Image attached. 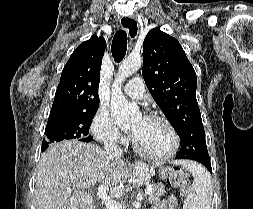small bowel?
Returning a JSON list of instances; mask_svg holds the SVG:
<instances>
[{
    "mask_svg": "<svg viewBox=\"0 0 253 209\" xmlns=\"http://www.w3.org/2000/svg\"><path fill=\"white\" fill-rule=\"evenodd\" d=\"M178 201L175 196L170 195L168 198L160 202L154 209H177Z\"/></svg>",
    "mask_w": 253,
    "mask_h": 209,
    "instance_id": "small-bowel-1",
    "label": "small bowel"
}]
</instances>
